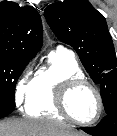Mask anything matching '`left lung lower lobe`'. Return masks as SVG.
<instances>
[{
	"label": "left lung lower lobe",
	"instance_id": "0a47b994",
	"mask_svg": "<svg viewBox=\"0 0 117 136\" xmlns=\"http://www.w3.org/2000/svg\"><path fill=\"white\" fill-rule=\"evenodd\" d=\"M80 129L93 136H117V107L107 113L97 126Z\"/></svg>",
	"mask_w": 117,
	"mask_h": 136
}]
</instances>
